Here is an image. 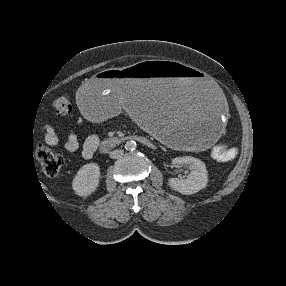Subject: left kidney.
<instances>
[{"mask_svg":"<svg viewBox=\"0 0 286 286\" xmlns=\"http://www.w3.org/2000/svg\"><path fill=\"white\" fill-rule=\"evenodd\" d=\"M172 163L179 167L188 166L190 173L186 179L170 178L168 184L171 188L181 194L190 195L206 187L208 177L204 162L191 156H184L172 159Z\"/></svg>","mask_w":286,"mask_h":286,"instance_id":"5707ae66","label":"left kidney"}]
</instances>
